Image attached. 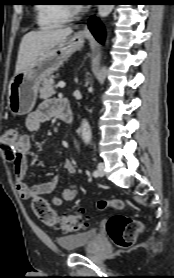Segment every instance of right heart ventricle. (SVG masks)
<instances>
[{
    "instance_id": "obj_1",
    "label": "right heart ventricle",
    "mask_w": 174,
    "mask_h": 278,
    "mask_svg": "<svg viewBox=\"0 0 174 278\" xmlns=\"http://www.w3.org/2000/svg\"><path fill=\"white\" fill-rule=\"evenodd\" d=\"M36 19L42 30H50L66 24L70 17L64 5L45 3L36 6Z\"/></svg>"
}]
</instances>
